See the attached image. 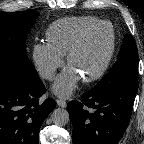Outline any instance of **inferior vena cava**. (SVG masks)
I'll list each match as a JSON object with an SVG mask.
<instances>
[{
	"mask_svg": "<svg viewBox=\"0 0 144 144\" xmlns=\"http://www.w3.org/2000/svg\"><path fill=\"white\" fill-rule=\"evenodd\" d=\"M44 76H45V78H47V79H52L53 76H54V73H53V72H46Z\"/></svg>",
	"mask_w": 144,
	"mask_h": 144,
	"instance_id": "inferior-vena-cava-1",
	"label": "inferior vena cava"
}]
</instances>
